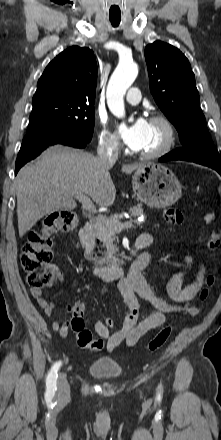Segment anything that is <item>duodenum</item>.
Here are the masks:
<instances>
[{
	"label": "duodenum",
	"instance_id": "duodenum-1",
	"mask_svg": "<svg viewBox=\"0 0 221 440\" xmlns=\"http://www.w3.org/2000/svg\"><path fill=\"white\" fill-rule=\"evenodd\" d=\"M93 228H94V223L93 222H87L81 229L79 232V237L81 239V241L86 242L88 241V239L90 238V236L93 233ZM143 244H137L136 248L140 249L142 248ZM96 261H99L100 259L95 257ZM149 258H143L140 261L136 262L135 265V269L138 272H142L145 268L148 267L149 265ZM94 273L96 274V276H98L99 278H102L104 280H114L119 278L122 273H123V267L121 265V263L119 262H115V263H110L107 265H102L99 266L97 268H95Z\"/></svg>",
	"mask_w": 221,
	"mask_h": 440
}]
</instances>
